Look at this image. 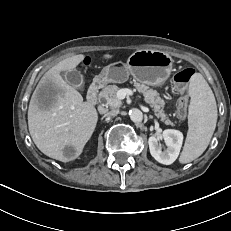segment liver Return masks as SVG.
<instances>
[{"label": "liver", "mask_w": 231, "mask_h": 231, "mask_svg": "<svg viewBox=\"0 0 231 231\" xmlns=\"http://www.w3.org/2000/svg\"><path fill=\"white\" fill-rule=\"evenodd\" d=\"M103 58L113 56L104 54ZM83 59V54L73 55L50 68L29 104L28 127L32 140L46 156L62 162L82 153L98 121L95 107L83 102L82 95L60 75L76 68ZM68 147L74 150L71 158L65 154Z\"/></svg>", "instance_id": "liver-1"}]
</instances>
